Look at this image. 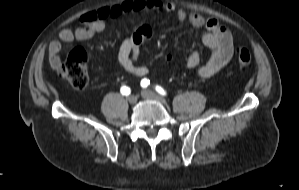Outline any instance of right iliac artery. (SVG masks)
<instances>
[{"label": "right iliac artery", "mask_w": 299, "mask_h": 190, "mask_svg": "<svg viewBox=\"0 0 299 190\" xmlns=\"http://www.w3.org/2000/svg\"><path fill=\"white\" fill-rule=\"evenodd\" d=\"M120 91L123 95H126V96L129 95L131 92L130 88L127 86H122Z\"/></svg>", "instance_id": "1"}]
</instances>
